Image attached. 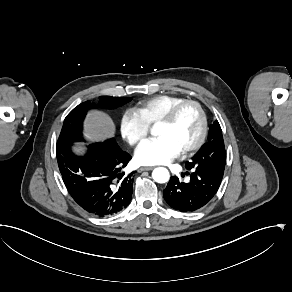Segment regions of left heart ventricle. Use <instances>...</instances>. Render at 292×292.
<instances>
[{
	"label": "left heart ventricle",
	"mask_w": 292,
	"mask_h": 292,
	"mask_svg": "<svg viewBox=\"0 0 292 292\" xmlns=\"http://www.w3.org/2000/svg\"><path fill=\"white\" fill-rule=\"evenodd\" d=\"M200 119L197 110L192 105L179 110L175 119L168 124H155L154 134L172 139L182 150L191 145L197 138Z\"/></svg>",
	"instance_id": "obj_1"
}]
</instances>
